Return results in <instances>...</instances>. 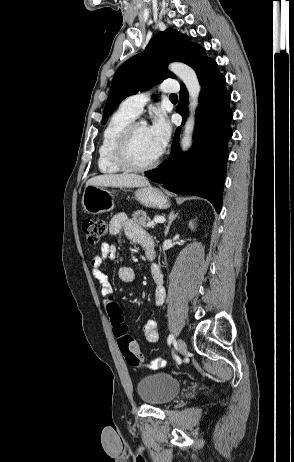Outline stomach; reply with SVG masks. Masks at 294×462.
<instances>
[{"label":"stomach","mask_w":294,"mask_h":462,"mask_svg":"<svg viewBox=\"0 0 294 462\" xmlns=\"http://www.w3.org/2000/svg\"><path fill=\"white\" fill-rule=\"evenodd\" d=\"M135 198L142 205L150 208L166 209L170 206L169 199L159 189L150 185L137 189ZM82 205L89 214L109 212L115 208L114 195L103 186L89 185L84 190Z\"/></svg>","instance_id":"obj_1"}]
</instances>
